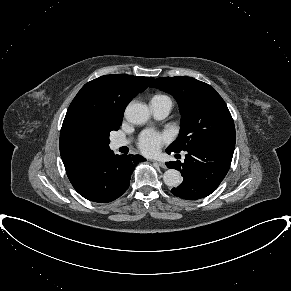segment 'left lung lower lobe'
<instances>
[{
	"label": "left lung lower lobe",
	"instance_id": "left-lung-lower-lobe-1",
	"mask_svg": "<svg viewBox=\"0 0 291 291\" xmlns=\"http://www.w3.org/2000/svg\"><path fill=\"white\" fill-rule=\"evenodd\" d=\"M235 144L218 143L191 147L185 161L167 162L168 168L179 170L184 180L171 192L180 198L197 200L210 195L226 176ZM167 153L171 151L166 150Z\"/></svg>",
	"mask_w": 291,
	"mask_h": 291
}]
</instances>
